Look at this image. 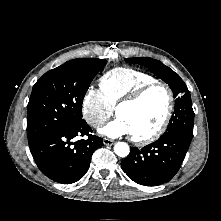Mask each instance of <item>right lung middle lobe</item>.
I'll return each instance as SVG.
<instances>
[{
  "mask_svg": "<svg viewBox=\"0 0 221 221\" xmlns=\"http://www.w3.org/2000/svg\"><path fill=\"white\" fill-rule=\"evenodd\" d=\"M105 59L79 58L45 73L34 85L27 105L29 146L42 137L82 120V103Z\"/></svg>",
  "mask_w": 221,
  "mask_h": 221,
  "instance_id": "right-lung-middle-lobe-1",
  "label": "right lung middle lobe"
}]
</instances>
